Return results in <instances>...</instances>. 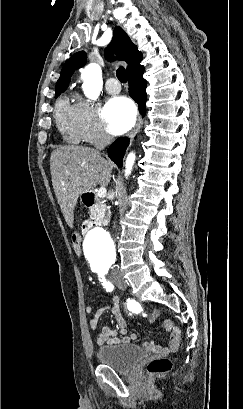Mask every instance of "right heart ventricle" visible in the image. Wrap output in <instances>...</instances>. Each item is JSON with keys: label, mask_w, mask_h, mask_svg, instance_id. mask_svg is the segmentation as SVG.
<instances>
[{"label": "right heart ventricle", "mask_w": 243, "mask_h": 409, "mask_svg": "<svg viewBox=\"0 0 243 409\" xmlns=\"http://www.w3.org/2000/svg\"><path fill=\"white\" fill-rule=\"evenodd\" d=\"M57 127L64 138L76 143L80 140L75 124V104L68 97L61 98L55 107Z\"/></svg>", "instance_id": "1"}]
</instances>
